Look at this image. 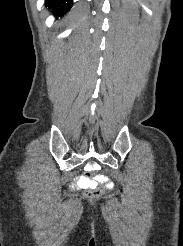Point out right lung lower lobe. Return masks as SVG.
<instances>
[{"instance_id":"obj_1","label":"right lung lower lobe","mask_w":183,"mask_h":246,"mask_svg":"<svg viewBox=\"0 0 183 246\" xmlns=\"http://www.w3.org/2000/svg\"><path fill=\"white\" fill-rule=\"evenodd\" d=\"M45 6L52 9L57 18L64 16L72 7L71 0H46Z\"/></svg>"}]
</instances>
